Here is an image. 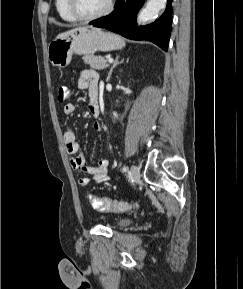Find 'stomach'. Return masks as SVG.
Here are the masks:
<instances>
[{"mask_svg":"<svg viewBox=\"0 0 243 289\" xmlns=\"http://www.w3.org/2000/svg\"><path fill=\"white\" fill-rule=\"evenodd\" d=\"M125 41L118 35L96 28L81 27L72 30L48 45L49 62L58 68H65L72 55H92L96 51L108 52L122 49Z\"/></svg>","mask_w":243,"mask_h":289,"instance_id":"obj_1","label":"stomach"}]
</instances>
